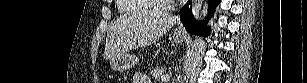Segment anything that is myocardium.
Returning a JSON list of instances; mask_svg holds the SVG:
<instances>
[{
  "instance_id": "1",
  "label": "myocardium",
  "mask_w": 307,
  "mask_h": 83,
  "mask_svg": "<svg viewBox=\"0 0 307 83\" xmlns=\"http://www.w3.org/2000/svg\"><path fill=\"white\" fill-rule=\"evenodd\" d=\"M152 4L158 9L159 13L167 14L175 8L174 1L153 0Z\"/></svg>"
}]
</instances>
